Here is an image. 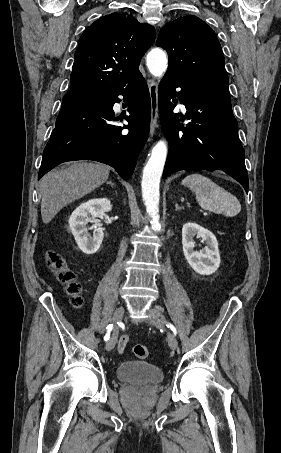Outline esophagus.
<instances>
[{"label":"esophagus","instance_id":"esophagus-1","mask_svg":"<svg viewBox=\"0 0 281 453\" xmlns=\"http://www.w3.org/2000/svg\"><path fill=\"white\" fill-rule=\"evenodd\" d=\"M148 88L150 92L151 101V119H150V136H153L157 127L159 117L158 110V85L155 80L148 81Z\"/></svg>","mask_w":281,"mask_h":453}]
</instances>
